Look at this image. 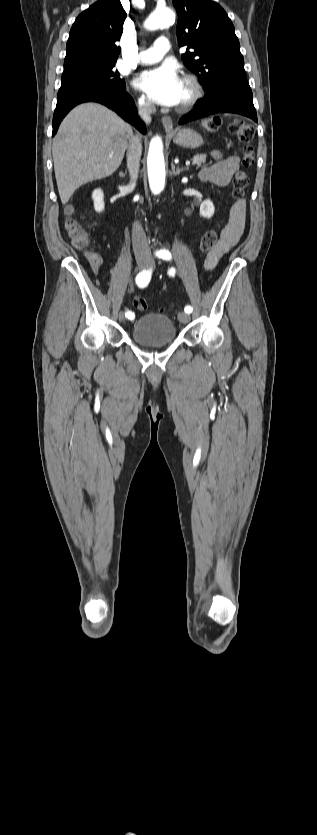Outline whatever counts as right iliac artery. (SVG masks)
I'll use <instances>...</instances> for the list:
<instances>
[{
  "label": "right iliac artery",
  "mask_w": 317,
  "mask_h": 835,
  "mask_svg": "<svg viewBox=\"0 0 317 835\" xmlns=\"http://www.w3.org/2000/svg\"><path fill=\"white\" fill-rule=\"evenodd\" d=\"M151 273H152L151 270H142L141 272H139L138 275L136 276V279H135L136 284L140 288L146 287L148 285V283L150 282ZM125 316L128 317V318H134V313H132L131 311H127L125 313Z\"/></svg>",
  "instance_id": "right-iliac-artery-1"
}]
</instances>
